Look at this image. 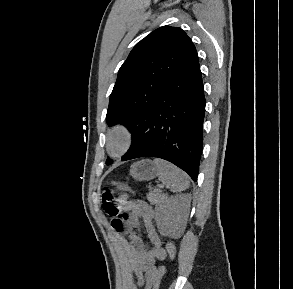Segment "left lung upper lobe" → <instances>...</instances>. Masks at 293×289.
Wrapping results in <instances>:
<instances>
[{
    "label": "left lung upper lobe",
    "instance_id": "obj_1",
    "mask_svg": "<svg viewBox=\"0 0 293 289\" xmlns=\"http://www.w3.org/2000/svg\"><path fill=\"white\" fill-rule=\"evenodd\" d=\"M197 61L196 48L181 28L162 26L151 32L119 69L106 115L108 125L122 123L131 130L144 111Z\"/></svg>",
    "mask_w": 293,
    "mask_h": 289
}]
</instances>
